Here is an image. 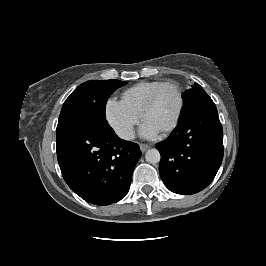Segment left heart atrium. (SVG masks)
I'll use <instances>...</instances> for the list:
<instances>
[{
    "mask_svg": "<svg viewBox=\"0 0 266 266\" xmlns=\"http://www.w3.org/2000/svg\"><path fill=\"white\" fill-rule=\"evenodd\" d=\"M158 132L159 130L157 128L152 126L147 121H144L142 128H141V135L143 137H147V138L154 137L158 134Z\"/></svg>",
    "mask_w": 266,
    "mask_h": 266,
    "instance_id": "39dd6f15",
    "label": "left heart atrium"
}]
</instances>
